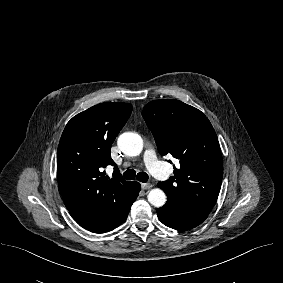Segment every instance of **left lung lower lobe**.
I'll return each mask as SVG.
<instances>
[{
  "label": "left lung lower lobe",
  "instance_id": "0a47b994",
  "mask_svg": "<svg viewBox=\"0 0 283 283\" xmlns=\"http://www.w3.org/2000/svg\"><path fill=\"white\" fill-rule=\"evenodd\" d=\"M157 214L163 224L179 231L190 230L198 226L208 216L193 212L175 201H167L157 210Z\"/></svg>",
  "mask_w": 283,
  "mask_h": 283
}]
</instances>
